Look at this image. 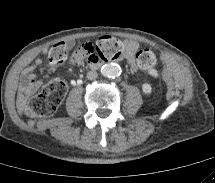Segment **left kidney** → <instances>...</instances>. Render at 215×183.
<instances>
[{
	"mask_svg": "<svg viewBox=\"0 0 215 183\" xmlns=\"http://www.w3.org/2000/svg\"><path fill=\"white\" fill-rule=\"evenodd\" d=\"M142 91H143L145 94L151 93V91H152L151 85L148 84V83L142 84Z\"/></svg>",
	"mask_w": 215,
	"mask_h": 183,
	"instance_id": "5707ae66",
	"label": "left kidney"
}]
</instances>
